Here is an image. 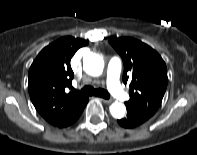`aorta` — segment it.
Returning a JSON list of instances; mask_svg holds the SVG:
<instances>
[{"label": "aorta", "mask_w": 197, "mask_h": 155, "mask_svg": "<svg viewBox=\"0 0 197 155\" xmlns=\"http://www.w3.org/2000/svg\"><path fill=\"white\" fill-rule=\"evenodd\" d=\"M83 67L87 74L91 76H99L104 69V60L101 56L97 54L87 55L84 58ZM109 110L114 118L120 119L124 117L126 107L120 102H115L110 106Z\"/></svg>", "instance_id": "1"}]
</instances>
